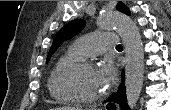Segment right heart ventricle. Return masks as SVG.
Segmentation results:
<instances>
[{
    "instance_id": "right-heart-ventricle-1",
    "label": "right heart ventricle",
    "mask_w": 171,
    "mask_h": 110,
    "mask_svg": "<svg viewBox=\"0 0 171 110\" xmlns=\"http://www.w3.org/2000/svg\"><path fill=\"white\" fill-rule=\"evenodd\" d=\"M81 59L82 57L77 52H75L72 48H69L63 55L59 57L53 69L51 70L48 77L47 86L51 97L57 102L70 103L73 101L60 88L59 74L65 66Z\"/></svg>"
}]
</instances>
